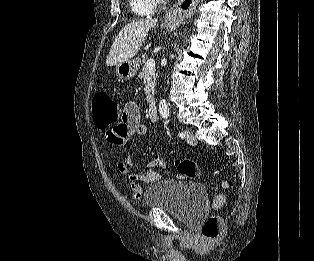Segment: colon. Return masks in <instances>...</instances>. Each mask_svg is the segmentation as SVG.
Here are the masks:
<instances>
[{
  "label": "colon",
  "mask_w": 314,
  "mask_h": 261,
  "mask_svg": "<svg viewBox=\"0 0 314 261\" xmlns=\"http://www.w3.org/2000/svg\"><path fill=\"white\" fill-rule=\"evenodd\" d=\"M92 107L93 121L97 128L108 129L114 124H119L120 108L106 92H98L94 95ZM175 166L181 178L194 179L199 175L198 164L193 159H179L175 162ZM225 202V195L219 194L216 196L213 206L215 209H220ZM221 229L222 221L220 217L213 215L206 219L202 225L201 233L205 239L212 241L219 236Z\"/></svg>",
  "instance_id": "1"
}]
</instances>
